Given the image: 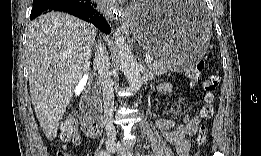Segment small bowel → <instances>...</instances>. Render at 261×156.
<instances>
[{
    "label": "small bowel",
    "mask_w": 261,
    "mask_h": 156,
    "mask_svg": "<svg viewBox=\"0 0 261 156\" xmlns=\"http://www.w3.org/2000/svg\"><path fill=\"white\" fill-rule=\"evenodd\" d=\"M159 91L171 93L172 87L162 84ZM199 121L198 116H188L181 124H176L172 119H161L156 121V127L169 143L175 145L178 156H187L191 147L189 137L196 133Z\"/></svg>",
    "instance_id": "small-bowel-1"
}]
</instances>
